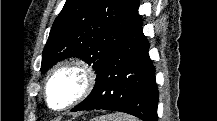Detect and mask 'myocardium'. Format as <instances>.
<instances>
[{
  "mask_svg": "<svg viewBox=\"0 0 217 121\" xmlns=\"http://www.w3.org/2000/svg\"><path fill=\"white\" fill-rule=\"evenodd\" d=\"M74 71L79 74L82 84L76 95L64 106L54 107L50 101V85L52 81L62 72ZM97 83V74L94 67L80 58H71L55 66L48 74L44 85V98L48 107L57 112L65 111L90 95Z\"/></svg>",
  "mask_w": 217,
  "mask_h": 121,
  "instance_id": "f54148a6",
  "label": "myocardium"
}]
</instances>
